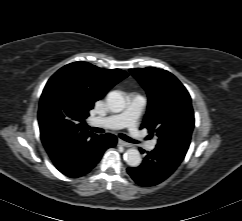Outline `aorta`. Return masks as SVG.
I'll list each match as a JSON object with an SVG mask.
<instances>
[{"label":"aorta","instance_id":"762f6f07","mask_svg":"<svg viewBox=\"0 0 242 221\" xmlns=\"http://www.w3.org/2000/svg\"><path fill=\"white\" fill-rule=\"evenodd\" d=\"M106 101L109 109L114 113L121 112L126 105L125 98L119 91L110 92L107 95ZM124 160L129 166L137 167L141 163L140 152L135 148H130L125 152Z\"/></svg>","mask_w":242,"mask_h":221}]
</instances>
